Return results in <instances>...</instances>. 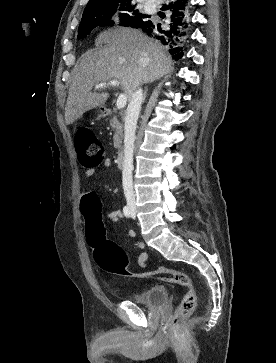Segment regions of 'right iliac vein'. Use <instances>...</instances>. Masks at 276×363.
Returning <instances> with one entry per match:
<instances>
[{
    "instance_id": "1",
    "label": "right iliac vein",
    "mask_w": 276,
    "mask_h": 363,
    "mask_svg": "<svg viewBox=\"0 0 276 363\" xmlns=\"http://www.w3.org/2000/svg\"><path fill=\"white\" fill-rule=\"evenodd\" d=\"M131 209H132V211H134V207L133 206L131 207Z\"/></svg>"
}]
</instances>
